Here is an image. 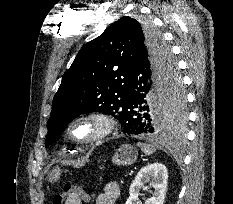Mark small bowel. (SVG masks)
Listing matches in <instances>:
<instances>
[{"label":"small bowel","mask_w":233,"mask_h":204,"mask_svg":"<svg viewBox=\"0 0 233 204\" xmlns=\"http://www.w3.org/2000/svg\"><path fill=\"white\" fill-rule=\"evenodd\" d=\"M119 196V184L115 181L108 182L104 186L103 192L97 197L96 204H115ZM88 199H86L85 201H88Z\"/></svg>","instance_id":"obj_1"}]
</instances>
